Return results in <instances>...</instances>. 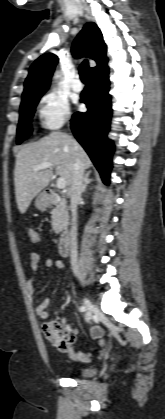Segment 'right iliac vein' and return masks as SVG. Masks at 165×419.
Masks as SVG:
<instances>
[{
    "instance_id": "1",
    "label": "right iliac vein",
    "mask_w": 165,
    "mask_h": 419,
    "mask_svg": "<svg viewBox=\"0 0 165 419\" xmlns=\"http://www.w3.org/2000/svg\"><path fill=\"white\" fill-rule=\"evenodd\" d=\"M83 302H84V307L86 311V321L89 322L92 318L94 306L92 302L86 297L83 299Z\"/></svg>"
}]
</instances>
